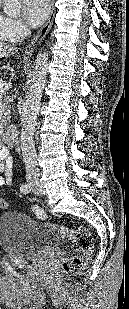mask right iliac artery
<instances>
[{
    "mask_svg": "<svg viewBox=\"0 0 129 309\" xmlns=\"http://www.w3.org/2000/svg\"><path fill=\"white\" fill-rule=\"evenodd\" d=\"M32 174H33V170L30 166H27V181L28 183H25L23 184L21 187H20V190L21 192L23 193H28L30 191V181L32 179Z\"/></svg>",
    "mask_w": 129,
    "mask_h": 309,
    "instance_id": "82829eb1",
    "label": "right iliac artery"
}]
</instances>
